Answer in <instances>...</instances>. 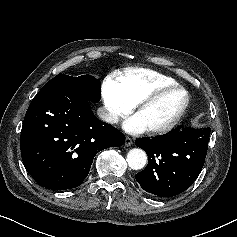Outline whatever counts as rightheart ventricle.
I'll return each instance as SVG.
<instances>
[{
    "label": "right heart ventricle",
    "instance_id": "e07e8e85",
    "mask_svg": "<svg viewBox=\"0 0 237 237\" xmlns=\"http://www.w3.org/2000/svg\"><path fill=\"white\" fill-rule=\"evenodd\" d=\"M113 78L122 94L133 105L158 88L177 83L172 77L143 68L126 69L116 73Z\"/></svg>",
    "mask_w": 237,
    "mask_h": 237
}]
</instances>
